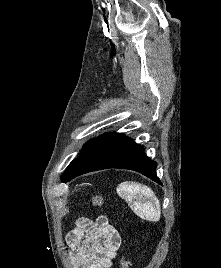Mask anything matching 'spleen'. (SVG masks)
<instances>
[{
  "instance_id": "obj_1",
  "label": "spleen",
  "mask_w": 221,
  "mask_h": 268,
  "mask_svg": "<svg viewBox=\"0 0 221 268\" xmlns=\"http://www.w3.org/2000/svg\"><path fill=\"white\" fill-rule=\"evenodd\" d=\"M117 193L140 218L148 221L160 219V202L148 186L136 182H122L117 187Z\"/></svg>"
}]
</instances>
